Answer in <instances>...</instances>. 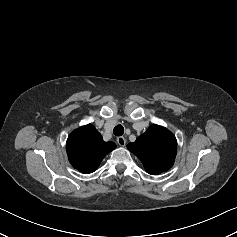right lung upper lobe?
Returning <instances> with one entry per match:
<instances>
[{"label": "right lung upper lobe", "instance_id": "obj_1", "mask_svg": "<svg viewBox=\"0 0 237 237\" xmlns=\"http://www.w3.org/2000/svg\"><path fill=\"white\" fill-rule=\"evenodd\" d=\"M67 155L74 168L84 174L94 172L102 159L116 148L115 143L105 142L91 125L74 130L67 139Z\"/></svg>", "mask_w": 237, "mask_h": 237}]
</instances>
